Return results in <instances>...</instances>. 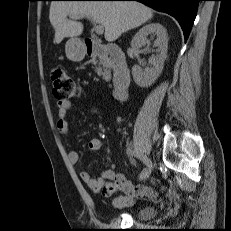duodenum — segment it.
<instances>
[{
    "mask_svg": "<svg viewBox=\"0 0 231 231\" xmlns=\"http://www.w3.org/2000/svg\"><path fill=\"white\" fill-rule=\"evenodd\" d=\"M85 53L90 57H104L112 66L113 85L117 99H123L130 84V69L121 48L116 44L103 45L96 40L84 41Z\"/></svg>",
    "mask_w": 231,
    "mask_h": 231,
    "instance_id": "410a0bca",
    "label": "duodenum"
}]
</instances>
